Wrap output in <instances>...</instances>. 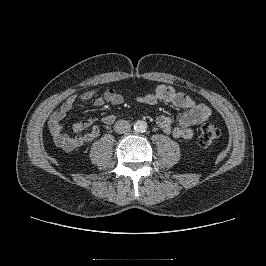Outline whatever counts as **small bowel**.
<instances>
[{
	"label": "small bowel",
	"instance_id": "c3829d8e",
	"mask_svg": "<svg viewBox=\"0 0 266 266\" xmlns=\"http://www.w3.org/2000/svg\"><path fill=\"white\" fill-rule=\"evenodd\" d=\"M90 99L98 107L106 104L121 105L124 102L123 96L113 89L105 90L100 96L84 93L68 97L51 114L48 122L50 136L57 146L67 151L74 150L91 142L99 135V128L93 125L97 120H100L106 125H110L117 119V115L115 114L105 115L100 119L95 117L83 119L75 122L71 127L72 133L68 134L63 127V120L77 104ZM137 101L147 105H153L158 101H163L175 107L185 109L186 111L179 117L176 123L167 115H160L156 119V125L159 129L176 139H190L193 136V127L206 121L212 115V111L207 105L199 103L190 96L165 85H160L154 91L145 93L138 97Z\"/></svg>",
	"mask_w": 266,
	"mask_h": 266
}]
</instances>
